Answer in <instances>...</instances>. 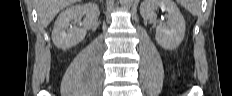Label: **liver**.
<instances>
[{"instance_id":"liver-1","label":"liver","mask_w":232,"mask_h":96,"mask_svg":"<svg viewBox=\"0 0 232 96\" xmlns=\"http://www.w3.org/2000/svg\"><path fill=\"white\" fill-rule=\"evenodd\" d=\"M77 0H36L39 21L43 27H47L54 17L66 6Z\"/></svg>"}]
</instances>
